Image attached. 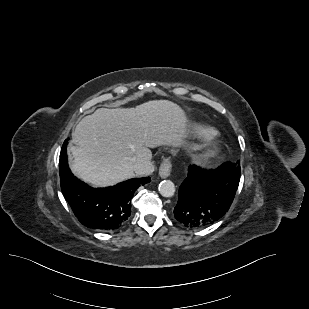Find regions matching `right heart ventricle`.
Wrapping results in <instances>:
<instances>
[{
    "mask_svg": "<svg viewBox=\"0 0 309 309\" xmlns=\"http://www.w3.org/2000/svg\"><path fill=\"white\" fill-rule=\"evenodd\" d=\"M195 131L201 137H211L214 134V130L205 125H196Z\"/></svg>",
    "mask_w": 309,
    "mask_h": 309,
    "instance_id": "e07e8e85",
    "label": "right heart ventricle"
}]
</instances>
